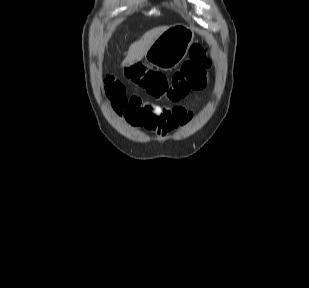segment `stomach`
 Masks as SVG:
<instances>
[{
  "mask_svg": "<svg viewBox=\"0 0 309 288\" xmlns=\"http://www.w3.org/2000/svg\"><path fill=\"white\" fill-rule=\"evenodd\" d=\"M194 31L185 25H174L164 31L145 54V60L161 70H170L185 58L193 42Z\"/></svg>",
  "mask_w": 309,
  "mask_h": 288,
  "instance_id": "stomach-1",
  "label": "stomach"
}]
</instances>
